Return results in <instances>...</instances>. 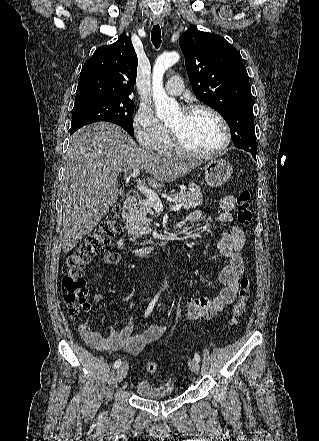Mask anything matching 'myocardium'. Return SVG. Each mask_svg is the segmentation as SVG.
Wrapping results in <instances>:
<instances>
[{
  "mask_svg": "<svg viewBox=\"0 0 319 441\" xmlns=\"http://www.w3.org/2000/svg\"><path fill=\"white\" fill-rule=\"evenodd\" d=\"M200 110H203V111H206V112L212 114L220 122V124L223 128V131H224L223 143L218 148H216L214 150L207 151V152H199V151H196V150L189 148L182 141L180 135L174 129H172L171 127L168 126L171 144L173 146V149L177 153H180L182 155L195 157V158L214 157V156L222 153L229 146V144L231 142L230 127H229L227 120L224 118V116L219 111H217L216 109H214L213 107H211L209 105L202 104V103H194V104H189V105L183 107V109H182V111L185 114H191V113H194V112L200 111Z\"/></svg>",
  "mask_w": 319,
  "mask_h": 441,
  "instance_id": "1",
  "label": "myocardium"
}]
</instances>
